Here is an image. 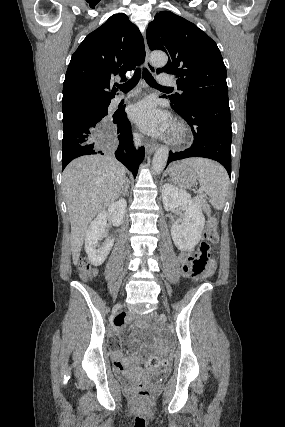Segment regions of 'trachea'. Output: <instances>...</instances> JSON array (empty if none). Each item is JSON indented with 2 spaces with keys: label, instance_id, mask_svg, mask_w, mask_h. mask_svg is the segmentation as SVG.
Returning a JSON list of instances; mask_svg holds the SVG:
<instances>
[{
  "label": "trachea",
  "instance_id": "3493384b",
  "mask_svg": "<svg viewBox=\"0 0 285 427\" xmlns=\"http://www.w3.org/2000/svg\"><path fill=\"white\" fill-rule=\"evenodd\" d=\"M142 74H143V78L145 79V81L151 87L163 88V89L170 88V87H164V86L159 85L147 69H143ZM140 77H141V70L137 69L135 71L134 76L128 82L124 83L123 85H120L119 88L124 92L133 89L137 85V83L139 82Z\"/></svg>",
  "mask_w": 285,
  "mask_h": 427
}]
</instances>
